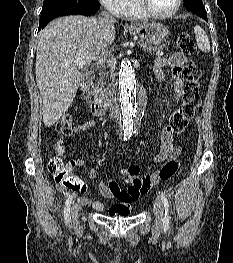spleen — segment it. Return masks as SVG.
<instances>
[{"label": "spleen", "mask_w": 233, "mask_h": 263, "mask_svg": "<svg viewBox=\"0 0 233 263\" xmlns=\"http://www.w3.org/2000/svg\"><path fill=\"white\" fill-rule=\"evenodd\" d=\"M194 33L196 35V41L199 49L205 53L210 52V42L206 32L199 25H196L194 27Z\"/></svg>", "instance_id": "spleen-1"}]
</instances>
